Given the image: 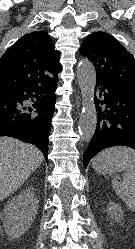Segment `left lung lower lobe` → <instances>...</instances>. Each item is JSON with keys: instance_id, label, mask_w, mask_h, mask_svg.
I'll return each instance as SVG.
<instances>
[{"instance_id": "0a47b994", "label": "left lung lower lobe", "mask_w": 135, "mask_h": 249, "mask_svg": "<svg viewBox=\"0 0 135 249\" xmlns=\"http://www.w3.org/2000/svg\"><path fill=\"white\" fill-rule=\"evenodd\" d=\"M97 126L83 154L84 168L101 150L124 145L135 149V91L97 81Z\"/></svg>"}]
</instances>
